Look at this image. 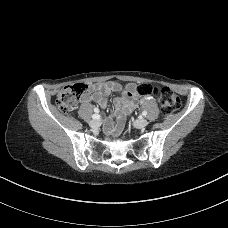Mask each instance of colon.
Returning <instances> with one entry per match:
<instances>
[{"mask_svg": "<svg viewBox=\"0 0 228 228\" xmlns=\"http://www.w3.org/2000/svg\"><path fill=\"white\" fill-rule=\"evenodd\" d=\"M88 86L84 83H75L65 86L57 95V106L63 113H69L74 109L78 100L87 92ZM137 93L141 96H148L153 91L157 92L161 112L169 116L181 107L180 99L167 87L153 89L151 85L143 83L137 86Z\"/></svg>", "mask_w": 228, "mask_h": 228, "instance_id": "colon-1", "label": "colon"}]
</instances>
